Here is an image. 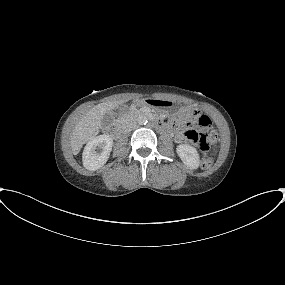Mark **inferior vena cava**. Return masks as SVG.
Returning a JSON list of instances; mask_svg holds the SVG:
<instances>
[{"label":"inferior vena cava","mask_w":285,"mask_h":285,"mask_svg":"<svg viewBox=\"0 0 285 285\" xmlns=\"http://www.w3.org/2000/svg\"><path fill=\"white\" fill-rule=\"evenodd\" d=\"M136 126H137V123H136V122H130V123H128V124H126V125L123 126V131H124L125 133H127V132H129V131L135 129Z\"/></svg>","instance_id":"obj_1"}]
</instances>
